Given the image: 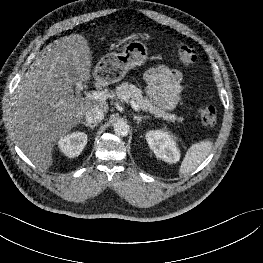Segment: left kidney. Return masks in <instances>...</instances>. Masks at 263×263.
<instances>
[{
  "mask_svg": "<svg viewBox=\"0 0 263 263\" xmlns=\"http://www.w3.org/2000/svg\"><path fill=\"white\" fill-rule=\"evenodd\" d=\"M146 140L157 158L169 163H176L179 160L180 152L176 146L175 138L167 131H148Z\"/></svg>",
  "mask_w": 263,
  "mask_h": 263,
  "instance_id": "1",
  "label": "left kidney"
}]
</instances>
